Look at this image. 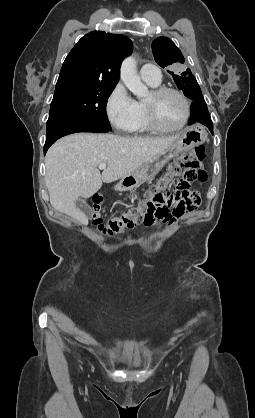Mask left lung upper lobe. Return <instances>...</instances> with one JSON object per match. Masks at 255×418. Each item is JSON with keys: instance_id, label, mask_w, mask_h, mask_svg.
Returning <instances> with one entry per match:
<instances>
[{"instance_id": "obj_1", "label": "left lung upper lobe", "mask_w": 255, "mask_h": 418, "mask_svg": "<svg viewBox=\"0 0 255 418\" xmlns=\"http://www.w3.org/2000/svg\"><path fill=\"white\" fill-rule=\"evenodd\" d=\"M152 52L155 61L162 67L172 65L178 67L185 62L184 56L178 47L167 37H159L152 42ZM179 89H181L185 96L192 100L203 99L201 89L196 81V78L191 73L190 69L168 71Z\"/></svg>"}]
</instances>
